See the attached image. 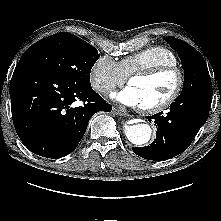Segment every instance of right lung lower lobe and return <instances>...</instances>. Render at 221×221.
Segmentation results:
<instances>
[{
    "mask_svg": "<svg viewBox=\"0 0 221 221\" xmlns=\"http://www.w3.org/2000/svg\"><path fill=\"white\" fill-rule=\"evenodd\" d=\"M12 119L24 145L47 158L71 153L86 132L89 119L112 106L91 86L68 82L30 63H18L10 83ZM76 100L83 106L72 107Z\"/></svg>",
    "mask_w": 221,
    "mask_h": 221,
    "instance_id": "right-lung-lower-lobe-1",
    "label": "right lung lower lobe"
}]
</instances>
